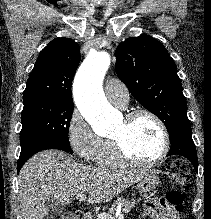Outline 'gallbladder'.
Masks as SVG:
<instances>
[{"label": "gallbladder", "instance_id": "gallbladder-1", "mask_svg": "<svg viewBox=\"0 0 211 219\" xmlns=\"http://www.w3.org/2000/svg\"><path fill=\"white\" fill-rule=\"evenodd\" d=\"M45 208L54 215H60L64 211V206L54 198H49L46 201Z\"/></svg>", "mask_w": 211, "mask_h": 219}]
</instances>
